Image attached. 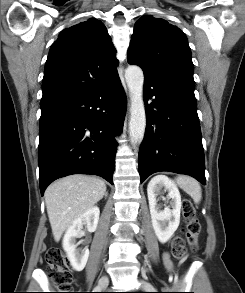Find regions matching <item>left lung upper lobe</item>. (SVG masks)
I'll use <instances>...</instances> for the list:
<instances>
[{
	"label": "left lung upper lobe",
	"mask_w": 245,
	"mask_h": 293,
	"mask_svg": "<svg viewBox=\"0 0 245 293\" xmlns=\"http://www.w3.org/2000/svg\"><path fill=\"white\" fill-rule=\"evenodd\" d=\"M145 77L193 98L195 82L191 50L185 34L164 19L142 16L134 26L127 57Z\"/></svg>",
	"instance_id": "obj_1"
}]
</instances>
